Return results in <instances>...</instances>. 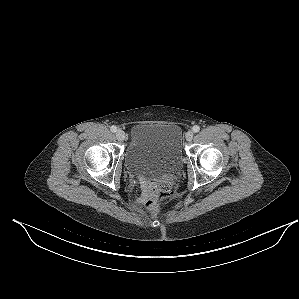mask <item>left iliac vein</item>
<instances>
[{"mask_svg": "<svg viewBox=\"0 0 299 299\" xmlns=\"http://www.w3.org/2000/svg\"><path fill=\"white\" fill-rule=\"evenodd\" d=\"M193 132L192 131H188L187 133H186V140L187 141H191L192 139H193Z\"/></svg>", "mask_w": 299, "mask_h": 299, "instance_id": "left-iliac-vein-1", "label": "left iliac vein"}]
</instances>
